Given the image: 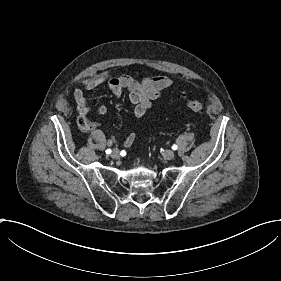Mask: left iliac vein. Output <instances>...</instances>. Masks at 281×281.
<instances>
[{
  "label": "left iliac vein",
  "mask_w": 281,
  "mask_h": 281,
  "mask_svg": "<svg viewBox=\"0 0 281 281\" xmlns=\"http://www.w3.org/2000/svg\"><path fill=\"white\" fill-rule=\"evenodd\" d=\"M162 153V152H161ZM174 152L173 151H171V150H166L165 151V153H164V156H165V158H167V159H171V158H173L174 157Z\"/></svg>",
  "instance_id": "1"
}]
</instances>
